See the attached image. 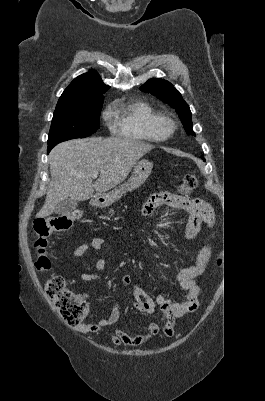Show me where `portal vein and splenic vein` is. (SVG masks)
Segmentation results:
<instances>
[{
  "instance_id": "portal-vein-and-splenic-vein-1",
  "label": "portal vein and splenic vein",
  "mask_w": 265,
  "mask_h": 401,
  "mask_svg": "<svg viewBox=\"0 0 265 401\" xmlns=\"http://www.w3.org/2000/svg\"><path fill=\"white\" fill-rule=\"evenodd\" d=\"M99 172H102V170H96V172H93L92 176H94V178H97Z\"/></svg>"
}]
</instances>
